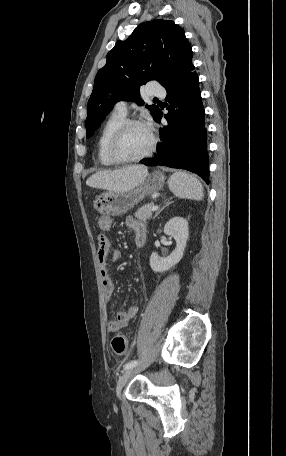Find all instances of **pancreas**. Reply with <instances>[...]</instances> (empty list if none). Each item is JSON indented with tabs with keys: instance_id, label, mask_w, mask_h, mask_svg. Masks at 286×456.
<instances>
[{
	"instance_id": "pancreas-1",
	"label": "pancreas",
	"mask_w": 286,
	"mask_h": 456,
	"mask_svg": "<svg viewBox=\"0 0 286 456\" xmlns=\"http://www.w3.org/2000/svg\"><path fill=\"white\" fill-rule=\"evenodd\" d=\"M155 206L153 202L148 203L142 207H140L137 212L135 213V217L139 221H147L152 217V207Z\"/></svg>"
}]
</instances>
